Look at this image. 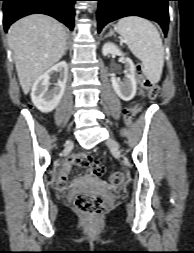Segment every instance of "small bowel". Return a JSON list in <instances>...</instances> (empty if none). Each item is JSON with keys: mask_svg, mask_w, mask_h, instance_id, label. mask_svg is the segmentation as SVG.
Instances as JSON below:
<instances>
[{"mask_svg": "<svg viewBox=\"0 0 194 253\" xmlns=\"http://www.w3.org/2000/svg\"><path fill=\"white\" fill-rule=\"evenodd\" d=\"M143 94H144V90L140 89L137 95L140 96ZM69 169H70V163L66 162L63 165L62 170L55 175V182H56V185L59 189L66 188V175H67V172L69 171Z\"/></svg>", "mask_w": 194, "mask_h": 253, "instance_id": "small-bowel-1", "label": "small bowel"}]
</instances>
